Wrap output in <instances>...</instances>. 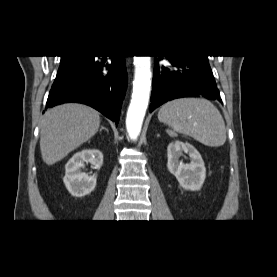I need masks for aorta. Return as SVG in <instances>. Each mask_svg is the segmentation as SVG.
<instances>
[{
  "label": "aorta",
  "mask_w": 277,
  "mask_h": 277,
  "mask_svg": "<svg viewBox=\"0 0 277 277\" xmlns=\"http://www.w3.org/2000/svg\"><path fill=\"white\" fill-rule=\"evenodd\" d=\"M134 67L132 99L126 117L127 132L132 140H136L141 132L149 102L152 77L150 56H134Z\"/></svg>",
  "instance_id": "762f6f07"
}]
</instances>
